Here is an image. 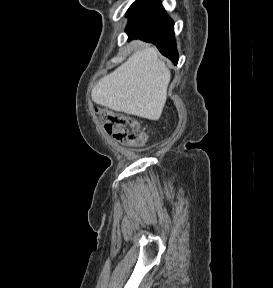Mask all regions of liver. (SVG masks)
Instances as JSON below:
<instances>
[{"instance_id":"obj_1","label":"liver","mask_w":273,"mask_h":288,"mask_svg":"<svg viewBox=\"0 0 273 288\" xmlns=\"http://www.w3.org/2000/svg\"><path fill=\"white\" fill-rule=\"evenodd\" d=\"M171 74L155 47L139 48L94 86L92 100L117 112L157 121L167 99Z\"/></svg>"}]
</instances>
